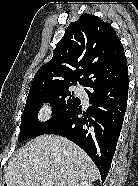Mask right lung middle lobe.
<instances>
[{"instance_id": "1", "label": "right lung middle lobe", "mask_w": 138, "mask_h": 186, "mask_svg": "<svg viewBox=\"0 0 138 186\" xmlns=\"http://www.w3.org/2000/svg\"><path fill=\"white\" fill-rule=\"evenodd\" d=\"M76 85V84H74ZM44 102H49L53 107L52 119L40 123L37 113ZM80 102L71 90V85L29 93L21 119L19 141L45 134L56 123L65 118Z\"/></svg>"}]
</instances>
